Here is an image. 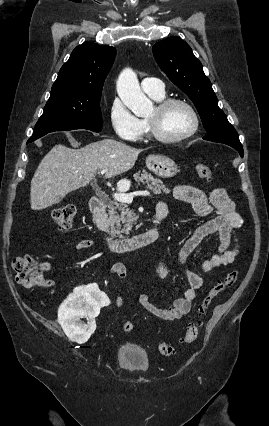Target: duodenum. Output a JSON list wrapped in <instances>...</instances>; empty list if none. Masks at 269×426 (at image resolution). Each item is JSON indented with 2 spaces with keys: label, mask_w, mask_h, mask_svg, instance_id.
Here are the masks:
<instances>
[{
  "label": "duodenum",
  "mask_w": 269,
  "mask_h": 426,
  "mask_svg": "<svg viewBox=\"0 0 269 426\" xmlns=\"http://www.w3.org/2000/svg\"><path fill=\"white\" fill-rule=\"evenodd\" d=\"M90 209L94 226L104 232L105 243L114 254L134 251L154 243L159 238L160 227L168 214L166 207H157L154 226L150 230L130 238H118L106 233L108 227L106 221V198L102 193L95 194L91 198Z\"/></svg>",
  "instance_id": "410a0bca"
}]
</instances>
